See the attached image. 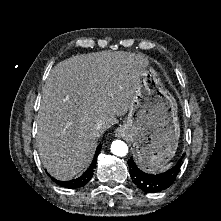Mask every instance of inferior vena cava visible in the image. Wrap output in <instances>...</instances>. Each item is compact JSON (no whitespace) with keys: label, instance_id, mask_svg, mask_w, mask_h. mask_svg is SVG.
<instances>
[{"label":"inferior vena cava","instance_id":"inferior-vena-cava-1","mask_svg":"<svg viewBox=\"0 0 221 221\" xmlns=\"http://www.w3.org/2000/svg\"><path fill=\"white\" fill-rule=\"evenodd\" d=\"M103 125H104V123H103L102 121H99V122L96 124L95 128H96L97 130H101V129L103 128Z\"/></svg>","mask_w":221,"mask_h":221}]
</instances>
